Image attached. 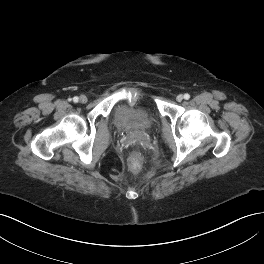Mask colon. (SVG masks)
<instances>
[{
	"label": "colon",
	"instance_id": "5ec220e1",
	"mask_svg": "<svg viewBox=\"0 0 264 264\" xmlns=\"http://www.w3.org/2000/svg\"><path fill=\"white\" fill-rule=\"evenodd\" d=\"M139 167H140V164H139V161H138V160H136V161H134V162L132 163V170H133V171L137 172L138 169H139Z\"/></svg>",
	"mask_w": 264,
	"mask_h": 264
}]
</instances>
